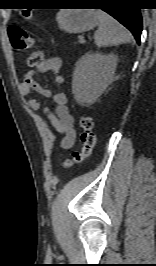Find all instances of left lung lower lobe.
Returning a JSON list of instances; mask_svg holds the SVG:
<instances>
[{"label":"left lung lower lobe","instance_id":"1","mask_svg":"<svg viewBox=\"0 0 156 266\" xmlns=\"http://www.w3.org/2000/svg\"><path fill=\"white\" fill-rule=\"evenodd\" d=\"M69 3L88 4L96 6H104L105 12L117 19L134 35L137 43H140V35L142 32V17L139 7H135L131 0H104L103 2H95V0H68Z\"/></svg>","mask_w":156,"mask_h":266}]
</instances>
